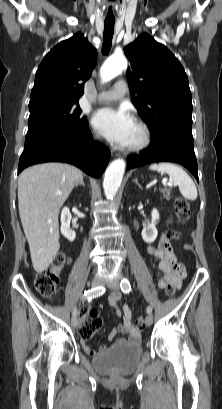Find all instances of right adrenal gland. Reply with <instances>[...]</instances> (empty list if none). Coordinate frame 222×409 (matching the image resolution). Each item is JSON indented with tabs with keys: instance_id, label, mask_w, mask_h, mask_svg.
<instances>
[{
	"instance_id": "2a0ac1e0",
	"label": "right adrenal gland",
	"mask_w": 222,
	"mask_h": 409,
	"mask_svg": "<svg viewBox=\"0 0 222 409\" xmlns=\"http://www.w3.org/2000/svg\"><path fill=\"white\" fill-rule=\"evenodd\" d=\"M79 185H82L83 187L85 186L84 181H83V177L80 178L79 182H77L75 184V187H78Z\"/></svg>"
}]
</instances>
